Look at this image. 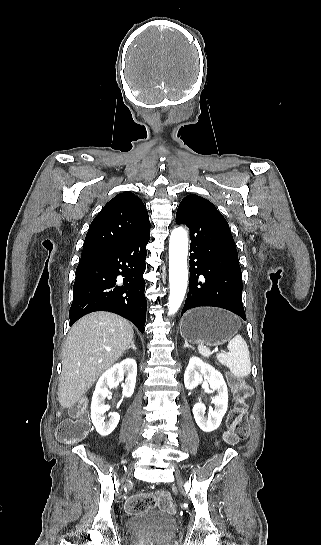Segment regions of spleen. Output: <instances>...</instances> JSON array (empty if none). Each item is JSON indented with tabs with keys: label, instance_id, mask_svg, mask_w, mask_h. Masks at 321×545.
Segmentation results:
<instances>
[{
	"label": "spleen",
	"instance_id": "obj_1",
	"mask_svg": "<svg viewBox=\"0 0 321 545\" xmlns=\"http://www.w3.org/2000/svg\"><path fill=\"white\" fill-rule=\"evenodd\" d=\"M229 353H218L216 355L219 363L230 369L233 377H248L251 373V361L250 353L247 347L246 341L242 339L241 335H236L232 341H229L227 345ZM198 351L203 357H210L211 351L203 345H199Z\"/></svg>",
	"mask_w": 321,
	"mask_h": 545
}]
</instances>
